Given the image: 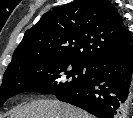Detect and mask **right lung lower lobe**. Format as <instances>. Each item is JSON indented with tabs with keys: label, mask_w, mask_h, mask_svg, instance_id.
<instances>
[{
	"label": "right lung lower lobe",
	"mask_w": 133,
	"mask_h": 118,
	"mask_svg": "<svg viewBox=\"0 0 133 118\" xmlns=\"http://www.w3.org/2000/svg\"><path fill=\"white\" fill-rule=\"evenodd\" d=\"M132 74L133 47L129 44L94 65L87 83L56 96L98 118H123L130 106Z\"/></svg>",
	"instance_id": "right-lung-lower-lobe-1"
}]
</instances>
